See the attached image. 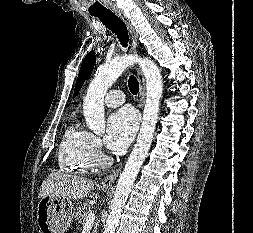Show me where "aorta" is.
I'll use <instances>...</instances> for the list:
<instances>
[{
    "instance_id": "762f6f07",
    "label": "aorta",
    "mask_w": 253,
    "mask_h": 233,
    "mask_svg": "<svg viewBox=\"0 0 253 233\" xmlns=\"http://www.w3.org/2000/svg\"><path fill=\"white\" fill-rule=\"evenodd\" d=\"M139 64L146 78V103L143 120L136 144L117 183L111 210L104 225L103 233H114L120 223L121 210L137 174L150 149L159 113V102L163 91L162 76L157 65L147 58L132 55L100 67L89 84L83 101V114L86 124L96 134L105 131L104 96L109 87L126 68Z\"/></svg>"
}]
</instances>
